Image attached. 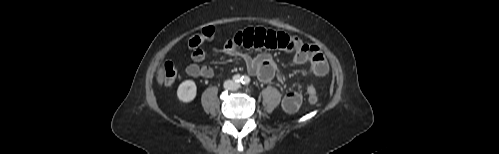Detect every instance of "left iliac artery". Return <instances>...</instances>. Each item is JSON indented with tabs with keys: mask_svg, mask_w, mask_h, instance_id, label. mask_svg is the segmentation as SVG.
<instances>
[{
	"mask_svg": "<svg viewBox=\"0 0 499 154\" xmlns=\"http://www.w3.org/2000/svg\"><path fill=\"white\" fill-rule=\"evenodd\" d=\"M250 78L248 76H242V80H241V83L244 84V85H248L250 83Z\"/></svg>",
	"mask_w": 499,
	"mask_h": 154,
	"instance_id": "obj_1",
	"label": "left iliac artery"
}]
</instances>
